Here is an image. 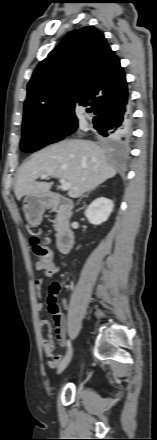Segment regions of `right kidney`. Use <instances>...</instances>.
Returning a JSON list of instances; mask_svg holds the SVG:
<instances>
[{
	"instance_id": "right-kidney-1",
	"label": "right kidney",
	"mask_w": 157,
	"mask_h": 440,
	"mask_svg": "<svg viewBox=\"0 0 157 440\" xmlns=\"http://www.w3.org/2000/svg\"><path fill=\"white\" fill-rule=\"evenodd\" d=\"M114 203L105 197L95 199L85 210V216L93 225H100L107 221L113 211Z\"/></svg>"
}]
</instances>
